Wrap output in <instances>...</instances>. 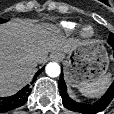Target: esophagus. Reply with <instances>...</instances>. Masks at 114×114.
<instances>
[{
    "instance_id": "1",
    "label": "esophagus",
    "mask_w": 114,
    "mask_h": 114,
    "mask_svg": "<svg viewBox=\"0 0 114 114\" xmlns=\"http://www.w3.org/2000/svg\"><path fill=\"white\" fill-rule=\"evenodd\" d=\"M53 58L58 61V60L60 59L59 53H55V54L53 55Z\"/></svg>"
}]
</instances>
